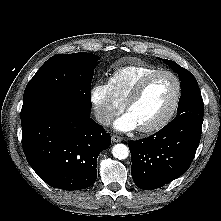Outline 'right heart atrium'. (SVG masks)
<instances>
[{
    "instance_id": "right-heart-atrium-1",
    "label": "right heart atrium",
    "mask_w": 221,
    "mask_h": 221,
    "mask_svg": "<svg viewBox=\"0 0 221 221\" xmlns=\"http://www.w3.org/2000/svg\"><path fill=\"white\" fill-rule=\"evenodd\" d=\"M89 99L94 117L101 125H107L123 108L113 96L108 84H93L89 90Z\"/></svg>"
}]
</instances>
